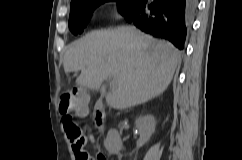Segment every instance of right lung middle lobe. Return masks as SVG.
I'll return each instance as SVG.
<instances>
[{
	"instance_id": "obj_1",
	"label": "right lung middle lobe",
	"mask_w": 242,
	"mask_h": 160,
	"mask_svg": "<svg viewBox=\"0 0 242 160\" xmlns=\"http://www.w3.org/2000/svg\"><path fill=\"white\" fill-rule=\"evenodd\" d=\"M107 1H117L118 10L123 15L137 0H80L70 6L69 28L75 35L82 33L92 12L100 4Z\"/></svg>"
}]
</instances>
